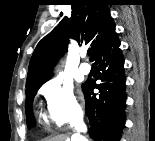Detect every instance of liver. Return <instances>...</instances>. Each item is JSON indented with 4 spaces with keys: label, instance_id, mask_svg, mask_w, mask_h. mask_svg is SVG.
Returning a JSON list of instances; mask_svg holds the SVG:
<instances>
[{
    "label": "liver",
    "instance_id": "6515ba94",
    "mask_svg": "<svg viewBox=\"0 0 155 141\" xmlns=\"http://www.w3.org/2000/svg\"><path fill=\"white\" fill-rule=\"evenodd\" d=\"M47 141H70V138L67 135H57L48 139Z\"/></svg>",
    "mask_w": 155,
    "mask_h": 141
}]
</instances>
